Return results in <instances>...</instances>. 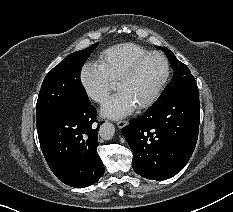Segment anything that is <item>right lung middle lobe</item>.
I'll return each mask as SVG.
<instances>
[{
    "mask_svg": "<svg viewBox=\"0 0 233 212\" xmlns=\"http://www.w3.org/2000/svg\"><path fill=\"white\" fill-rule=\"evenodd\" d=\"M97 45L95 43L68 55L48 72L38 95L37 127L65 110L90 103L80 80V72Z\"/></svg>",
    "mask_w": 233,
    "mask_h": 212,
    "instance_id": "1",
    "label": "right lung middle lobe"
}]
</instances>
